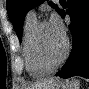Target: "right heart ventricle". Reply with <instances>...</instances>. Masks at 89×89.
<instances>
[{
	"label": "right heart ventricle",
	"mask_w": 89,
	"mask_h": 89,
	"mask_svg": "<svg viewBox=\"0 0 89 89\" xmlns=\"http://www.w3.org/2000/svg\"><path fill=\"white\" fill-rule=\"evenodd\" d=\"M37 24L36 16L28 14L23 27V57L26 71L32 77H42L49 73L38 65L33 55L32 38Z\"/></svg>",
	"instance_id": "right-heart-ventricle-1"
}]
</instances>
